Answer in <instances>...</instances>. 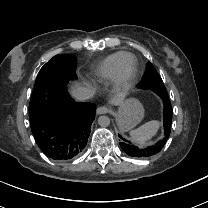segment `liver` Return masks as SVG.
<instances>
[{"instance_id": "obj_1", "label": "liver", "mask_w": 208, "mask_h": 208, "mask_svg": "<svg viewBox=\"0 0 208 208\" xmlns=\"http://www.w3.org/2000/svg\"><path fill=\"white\" fill-rule=\"evenodd\" d=\"M77 87H78V85L76 84L72 88V91H74ZM125 96H126L125 92H119L113 98H111L109 100V103L112 104V105H115V106L121 105L123 103V100H124Z\"/></svg>"}]
</instances>
